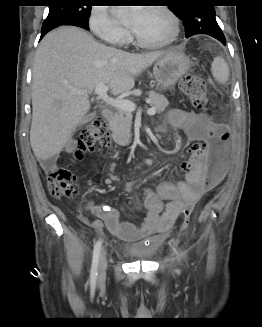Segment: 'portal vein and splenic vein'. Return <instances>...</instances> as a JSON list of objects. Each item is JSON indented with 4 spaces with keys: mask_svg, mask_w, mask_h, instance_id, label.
<instances>
[{
    "mask_svg": "<svg viewBox=\"0 0 262 327\" xmlns=\"http://www.w3.org/2000/svg\"><path fill=\"white\" fill-rule=\"evenodd\" d=\"M107 90L108 89H107L106 85L101 83L96 86L94 92L103 102H105L106 104H108L112 107H115L117 109H121L124 111H128V112L135 111V109H136L135 103H133L132 101H129V100H125V99L112 98L107 95ZM75 93L85 94V93H87V91H84V92L75 91ZM147 114L155 115L156 109L154 107L148 109Z\"/></svg>",
    "mask_w": 262,
    "mask_h": 327,
    "instance_id": "obj_1",
    "label": "portal vein and splenic vein"
}]
</instances>
